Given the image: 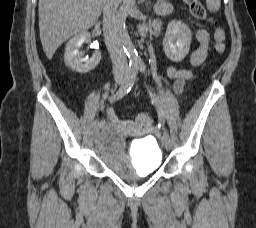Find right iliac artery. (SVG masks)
I'll return each mask as SVG.
<instances>
[{
  "mask_svg": "<svg viewBox=\"0 0 256 228\" xmlns=\"http://www.w3.org/2000/svg\"><path fill=\"white\" fill-rule=\"evenodd\" d=\"M137 73H138L137 65H130L128 75H127L124 83L120 86V88L118 89V91L115 94H112L109 97L110 102H114L116 100L121 99L131 90V88L133 87L134 82L136 80ZM92 125L94 128H97L100 125L99 120H94Z\"/></svg>",
  "mask_w": 256,
  "mask_h": 228,
  "instance_id": "obj_1",
  "label": "right iliac artery"
}]
</instances>
